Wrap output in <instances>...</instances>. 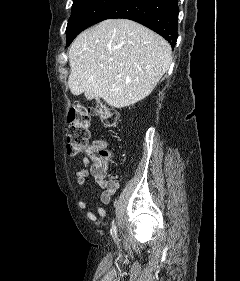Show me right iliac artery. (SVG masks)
Here are the masks:
<instances>
[{
  "mask_svg": "<svg viewBox=\"0 0 240 281\" xmlns=\"http://www.w3.org/2000/svg\"><path fill=\"white\" fill-rule=\"evenodd\" d=\"M112 230H113V232H114L115 235H116V226H115V225L112 226Z\"/></svg>",
  "mask_w": 240,
  "mask_h": 281,
  "instance_id": "1",
  "label": "right iliac artery"
}]
</instances>
